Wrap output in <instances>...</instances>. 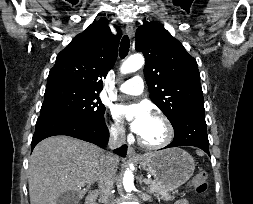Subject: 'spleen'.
Instances as JSON below:
<instances>
[{
	"mask_svg": "<svg viewBox=\"0 0 253 204\" xmlns=\"http://www.w3.org/2000/svg\"><path fill=\"white\" fill-rule=\"evenodd\" d=\"M199 155H202V153L198 152Z\"/></svg>",
	"mask_w": 253,
	"mask_h": 204,
	"instance_id": "spleen-1",
	"label": "spleen"
}]
</instances>
